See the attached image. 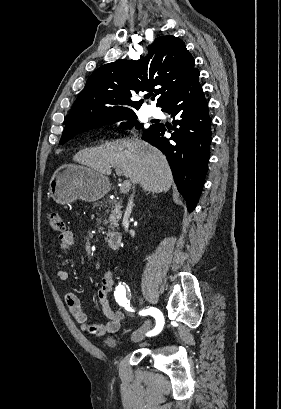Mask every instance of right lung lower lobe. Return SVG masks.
Instances as JSON below:
<instances>
[{
	"label": "right lung lower lobe",
	"instance_id": "98d812e1",
	"mask_svg": "<svg viewBox=\"0 0 281 409\" xmlns=\"http://www.w3.org/2000/svg\"><path fill=\"white\" fill-rule=\"evenodd\" d=\"M198 77L197 69L189 82L162 105V111L174 119L173 126L157 123L143 132V139L166 155L189 212L196 207L203 189L211 143V118Z\"/></svg>",
	"mask_w": 281,
	"mask_h": 409
}]
</instances>
